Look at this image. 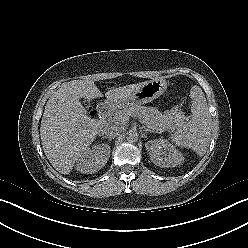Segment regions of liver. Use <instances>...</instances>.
I'll return each mask as SVG.
<instances>
[{
    "mask_svg": "<svg viewBox=\"0 0 248 248\" xmlns=\"http://www.w3.org/2000/svg\"><path fill=\"white\" fill-rule=\"evenodd\" d=\"M144 83L112 89L105 96L109 100L126 99ZM100 97L103 94L93 81L74 80L64 83L46 103L40 126L42 146L49 162L61 174L72 170L100 129V123L87 115L79 99Z\"/></svg>",
    "mask_w": 248,
    "mask_h": 248,
    "instance_id": "obj_1",
    "label": "liver"
}]
</instances>
